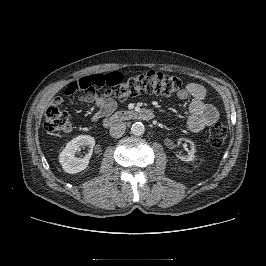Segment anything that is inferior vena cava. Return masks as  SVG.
I'll return each instance as SVG.
<instances>
[{
    "instance_id": "inferior-vena-cava-1",
    "label": "inferior vena cava",
    "mask_w": 266,
    "mask_h": 266,
    "mask_svg": "<svg viewBox=\"0 0 266 266\" xmlns=\"http://www.w3.org/2000/svg\"><path fill=\"white\" fill-rule=\"evenodd\" d=\"M126 129V125L124 122H116L110 128V135L113 138H120Z\"/></svg>"
}]
</instances>
